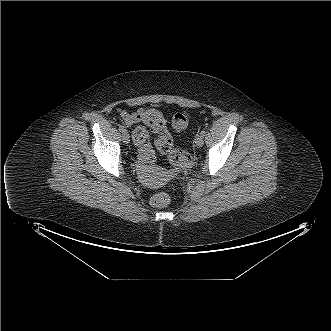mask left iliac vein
Wrapping results in <instances>:
<instances>
[{
	"instance_id": "1",
	"label": "left iliac vein",
	"mask_w": 331,
	"mask_h": 331,
	"mask_svg": "<svg viewBox=\"0 0 331 331\" xmlns=\"http://www.w3.org/2000/svg\"><path fill=\"white\" fill-rule=\"evenodd\" d=\"M195 145L197 147H202L203 146V136L201 134H197L194 139Z\"/></svg>"
}]
</instances>
